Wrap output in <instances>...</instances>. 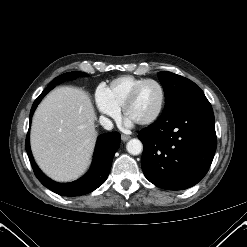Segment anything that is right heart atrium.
Listing matches in <instances>:
<instances>
[{
	"mask_svg": "<svg viewBox=\"0 0 247 247\" xmlns=\"http://www.w3.org/2000/svg\"><path fill=\"white\" fill-rule=\"evenodd\" d=\"M95 101L98 110L102 114L113 119H117L119 117L120 109L111 102L105 87L100 86L97 88L95 93Z\"/></svg>",
	"mask_w": 247,
	"mask_h": 247,
	"instance_id": "obj_1",
	"label": "right heart atrium"
}]
</instances>
